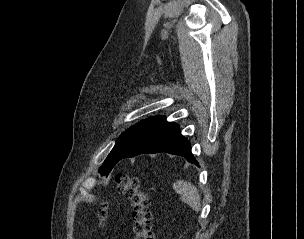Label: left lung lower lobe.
<instances>
[{
    "mask_svg": "<svg viewBox=\"0 0 304 239\" xmlns=\"http://www.w3.org/2000/svg\"><path fill=\"white\" fill-rule=\"evenodd\" d=\"M159 152L181 155L185 157L188 162L198 165L197 160L191 153L190 143L180 134L179 126L176 123H167L158 128L155 132L136 144L122 158Z\"/></svg>",
    "mask_w": 304,
    "mask_h": 239,
    "instance_id": "0a47b994",
    "label": "left lung lower lobe"
}]
</instances>
